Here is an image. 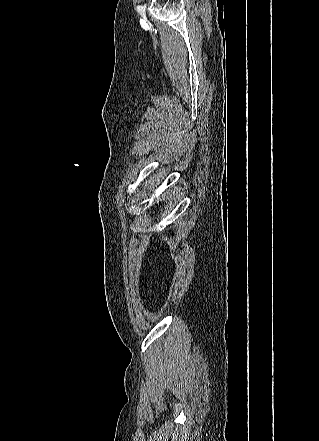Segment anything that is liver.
Instances as JSON below:
<instances>
[{
    "instance_id": "liver-1",
    "label": "liver",
    "mask_w": 319,
    "mask_h": 441,
    "mask_svg": "<svg viewBox=\"0 0 319 441\" xmlns=\"http://www.w3.org/2000/svg\"><path fill=\"white\" fill-rule=\"evenodd\" d=\"M155 181H157V182H156V184H158V182H159V179H158V177H157V180L155 179Z\"/></svg>"
}]
</instances>
